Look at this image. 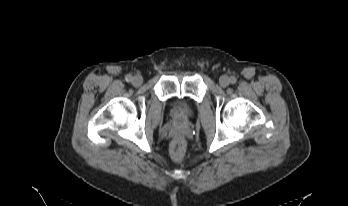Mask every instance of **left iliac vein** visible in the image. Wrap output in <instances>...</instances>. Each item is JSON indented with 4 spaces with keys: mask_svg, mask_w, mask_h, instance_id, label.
Masks as SVG:
<instances>
[{
    "mask_svg": "<svg viewBox=\"0 0 348 206\" xmlns=\"http://www.w3.org/2000/svg\"><path fill=\"white\" fill-rule=\"evenodd\" d=\"M219 83L222 87H227L230 83V79L228 76L226 75H222L220 78H219Z\"/></svg>",
    "mask_w": 348,
    "mask_h": 206,
    "instance_id": "left-iliac-vein-1",
    "label": "left iliac vein"
}]
</instances>
